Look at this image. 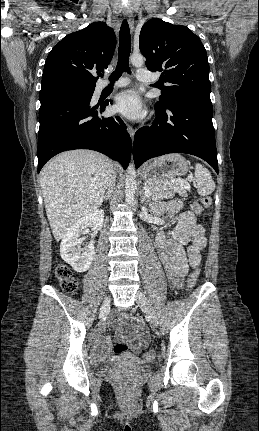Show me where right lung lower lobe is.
Segmentation results:
<instances>
[{
	"label": "right lung lower lobe",
	"instance_id": "obj_1",
	"mask_svg": "<svg viewBox=\"0 0 259 431\" xmlns=\"http://www.w3.org/2000/svg\"><path fill=\"white\" fill-rule=\"evenodd\" d=\"M92 95H61L41 101L38 133V173L56 154L91 149L119 161L127 168L131 138L120 117H98L109 101L90 106Z\"/></svg>",
	"mask_w": 259,
	"mask_h": 431
}]
</instances>
